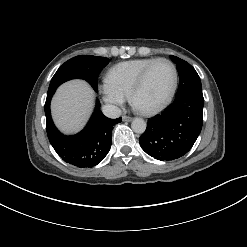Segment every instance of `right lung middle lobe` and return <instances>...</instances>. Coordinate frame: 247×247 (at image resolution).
<instances>
[{
    "instance_id": "dd1d6c3e",
    "label": "right lung middle lobe",
    "mask_w": 247,
    "mask_h": 247,
    "mask_svg": "<svg viewBox=\"0 0 247 247\" xmlns=\"http://www.w3.org/2000/svg\"><path fill=\"white\" fill-rule=\"evenodd\" d=\"M105 57L79 55L66 61L51 79L48 92L55 91L59 85L71 79L86 80L95 91L100 71L109 63Z\"/></svg>"
}]
</instances>
